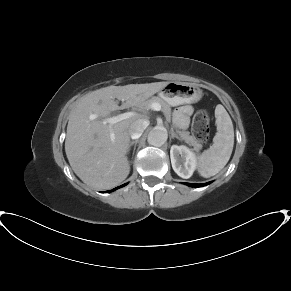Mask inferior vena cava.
Segmentation results:
<instances>
[{
	"mask_svg": "<svg viewBox=\"0 0 291 291\" xmlns=\"http://www.w3.org/2000/svg\"><path fill=\"white\" fill-rule=\"evenodd\" d=\"M149 121L146 119H139L133 122L129 127V135L132 139H138L144 132V130L148 127Z\"/></svg>",
	"mask_w": 291,
	"mask_h": 291,
	"instance_id": "obj_1",
	"label": "inferior vena cava"
}]
</instances>
